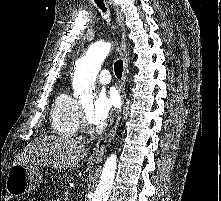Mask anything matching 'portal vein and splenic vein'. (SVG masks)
<instances>
[{
	"mask_svg": "<svg viewBox=\"0 0 221 201\" xmlns=\"http://www.w3.org/2000/svg\"><path fill=\"white\" fill-rule=\"evenodd\" d=\"M68 195H69L68 192H66V193H65V196L68 197Z\"/></svg>",
	"mask_w": 221,
	"mask_h": 201,
	"instance_id": "portal-vein-and-splenic-vein-1",
	"label": "portal vein and splenic vein"
}]
</instances>
